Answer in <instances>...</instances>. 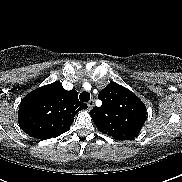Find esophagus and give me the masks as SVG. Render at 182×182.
Listing matches in <instances>:
<instances>
[{"label": "esophagus", "instance_id": "34e87169", "mask_svg": "<svg viewBox=\"0 0 182 182\" xmlns=\"http://www.w3.org/2000/svg\"><path fill=\"white\" fill-rule=\"evenodd\" d=\"M87 105H88V109L91 110V109L93 108V106H94V99H91V100L87 103Z\"/></svg>", "mask_w": 182, "mask_h": 182}]
</instances>
